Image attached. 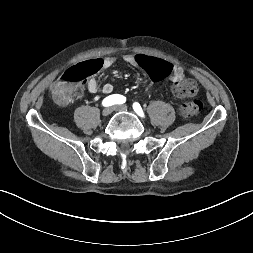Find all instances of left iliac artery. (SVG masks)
Returning a JSON list of instances; mask_svg holds the SVG:
<instances>
[{"mask_svg":"<svg viewBox=\"0 0 253 253\" xmlns=\"http://www.w3.org/2000/svg\"><path fill=\"white\" fill-rule=\"evenodd\" d=\"M133 109H134V111H135L138 115H140L141 117H144V116H145V115H144V112H143V110H142V108H141V106H140L139 103H137V102L133 103Z\"/></svg>","mask_w":253,"mask_h":253,"instance_id":"obj_1","label":"left iliac artery"}]
</instances>
